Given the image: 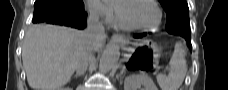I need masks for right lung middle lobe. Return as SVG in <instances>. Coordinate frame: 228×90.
<instances>
[{"label": "right lung middle lobe", "instance_id": "1", "mask_svg": "<svg viewBox=\"0 0 228 90\" xmlns=\"http://www.w3.org/2000/svg\"><path fill=\"white\" fill-rule=\"evenodd\" d=\"M37 2V0H36ZM68 2H71L72 4L76 5V6H82V0H69Z\"/></svg>", "mask_w": 228, "mask_h": 90}]
</instances>
